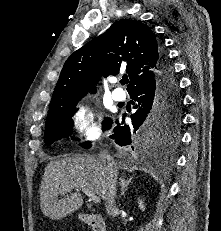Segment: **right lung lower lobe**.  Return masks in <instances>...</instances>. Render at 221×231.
Returning a JSON list of instances; mask_svg holds the SVG:
<instances>
[{
    "label": "right lung lower lobe",
    "instance_id": "right-lung-lower-lobe-1",
    "mask_svg": "<svg viewBox=\"0 0 221 231\" xmlns=\"http://www.w3.org/2000/svg\"><path fill=\"white\" fill-rule=\"evenodd\" d=\"M130 97L136 101V112L132 115V125H126L124 118L118 124L113 134L110 136L120 146L132 148L139 155L145 158L157 157L165 152V146L149 141L142 131V127L147 122L158 98L163 95L171 96L181 100V95L173 67L166 54L161 51L160 73L155 82L133 90L129 93ZM112 122H108L105 129L111 128ZM83 147L89 148L91 144L85 142Z\"/></svg>",
    "mask_w": 221,
    "mask_h": 231
}]
</instances>
